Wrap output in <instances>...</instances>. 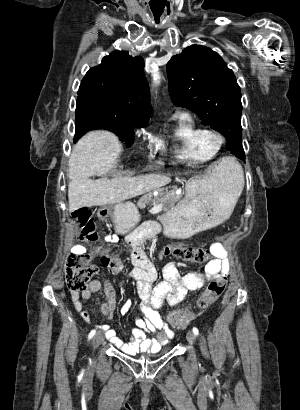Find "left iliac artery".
I'll use <instances>...</instances> for the list:
<instances>
[{
	"label": "left iliac artery",
	"mask_w": 300,
	"mask_h": 410,
	"mask_svg": "<svg viewBox=\"0 0 300 410\" xmlns=\"http://www.w3.org/2000/svg\"><path fill=\"white\" fill-rule=\"evenodd\" d=\"M193 333L195 334V335H198L199 334V330L196 328V327H193Z\"/></svg>",
	"instance_id": "obj_1"
}]
</instances>
